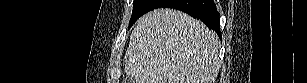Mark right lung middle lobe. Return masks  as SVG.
<instances>
[{
    "mask_svg": "<svg viewBox=\"0 0 307 83\" xmlns=\"http://www.w3.org/2000/svg\"><path fill=\"white\" fill-rule=\"evenodd\" d=\"M153 0H134L133 1V12L129 23V28L133 25V23L140 18L143 14L147 13Z\"/></svg>",
    "mask_w": 307,
    "mask_h": 83,
    "instance_id": "obj_1",
    "label": "right lung middle lobe"
}]
</instances>
